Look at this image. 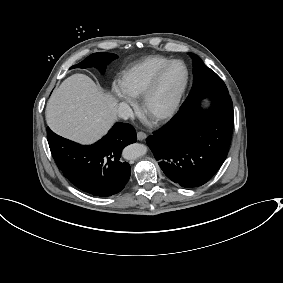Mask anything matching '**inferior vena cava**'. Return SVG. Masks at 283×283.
Here are the masks:
<instances>
[{"label": "inferior vena cava", "mask_w": 283, "mask_h": 283, "mask_svg": "<svg viewBox=\"0 0 283 283\" xmlns=\"http://www.w3.org/2000/svg\"><path fill=\"white\" fill-rule=\"evenodd\" d=\"M117 114L121 119H124V120L132 119L134 117V113H133L132 109L124 103H121L118 106Z\"/></svg>", "instance_id": "602c4592"}]
</instances>
